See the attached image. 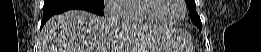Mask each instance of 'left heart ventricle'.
<instances>
[{
    "mask_svg": "<svg viewBox=\"0 0 261 52\" xmlns=\"http://www.w3.org/2000/svg\"><path fill=\"white\" fill-rule=\"evenodd\" d=\"M167 4V8L162 11V17L169 21H175L180 18L182 14V8L178 3V0H164Z\"/></svg>",
    "mask_w": 261,
    "mask_h": 52,
    "instance_id": "1",
    "label": "left heart ventricle"
}]
</instances>
